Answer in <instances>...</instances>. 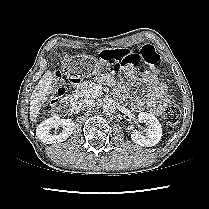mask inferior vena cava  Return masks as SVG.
<instances>
[{"label": "inferior vena cava", "instance_id": "1", "mask_svg": "<svg viewBox=\"0 0 209 209\" xmlns=\"http://www.w3.org/2000/svg\"><path fill=\"white\" fill-rule=\"evenodd\" d=\"M95 105V100L92 98H83L80 100L79 107L82 110L90 111Z\"/></svg>", "mask_w": 209, "mask_h": 209}]
</instances>
